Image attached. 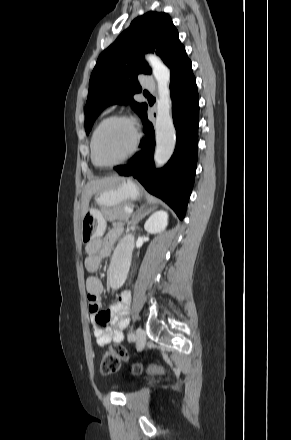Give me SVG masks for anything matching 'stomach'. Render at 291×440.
Wrapping results in <instances>:
<instances>
[{
	"instance_id": "stomach-1",
	"label": "stomach",
	"mask_w": 291,
	"mask_h": 440,
	"mask_svg": "<svg viewBox=\"0 0 291 440\" xmlns=\"http://www.w3.org/2000/svg\"><path fill=\"white\" fill-rule=\"evenodd\" d=\"M139 197V187L131 179L122 178L113 187L96 192L94 200L99 206L115 207ZM105 228L106 222L102 213L96 208H89L82 218V241L88 242L101 236Z\"/></svg>"
}]
</instances>
